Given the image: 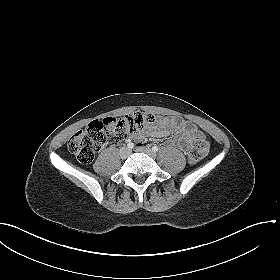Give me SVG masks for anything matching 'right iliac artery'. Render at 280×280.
Here are the masks:
<instances>
[{
  "label": "right iliac artery",
  "mask_w": 280,
  "mask_h": 280,
  "mask_svg": "<svg viewBox=\"0 0 280 280\" xmlns=\"http://www.w3.org/2000/svg\"><path fill=\"white\" fill-rule=\"evenodd\" d=\"M127 147H128L129 149H133V148H134V144L130 142V143L127 144Z\"/></svg>",
  "instance_id": "right-iliac-artery-1"
}]
</instances>
